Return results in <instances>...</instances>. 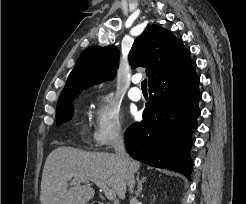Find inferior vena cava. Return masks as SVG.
<instances>
[{"mask_svg": "<svg viewBox=\"0 0 246 204\" xmlns=\"http://www.w3.org/2000/svg\"><path fill=\"white\" fill-rule=\"evenodd\" d=\"M113 148L115 150V155L120 162V164L124 167V170L126 172V181L127 185L129 187V192L133 193V188L135 185V179L133 172L129 169L128 165V155L125 150V144H124V137L121 134H118L113 142ZM130 204H137L136 198L131 197Z\"/></svg>", "mask_w": 246, "mask_h": 204, "instance_id": "602c4592", "label": "inferior vena cava"}]
</instances>
